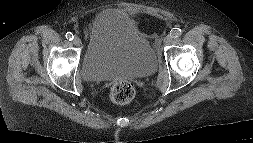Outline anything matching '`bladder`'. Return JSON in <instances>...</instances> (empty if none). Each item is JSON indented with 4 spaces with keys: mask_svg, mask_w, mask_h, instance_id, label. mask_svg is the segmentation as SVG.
<instances>
[{
    "mask_svg": "<svg viewBox=\"0 0 253 143\" xmlns=\"http://www.w3.org/2000/svg\"><path fill=\"white\" fill-rule=\"evenodd\" d=\"M156 65L152 46L126 12L110 8L96 15L82 60L86 80L141 78L152 74Z\"/></svg>",
    "mask_w": 253,
    "mask_h": 143,
    "instance_id": "31cf9c89",
    "label": "bladder"
}]
</instances>
